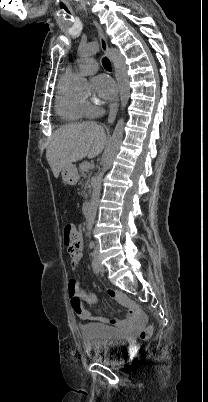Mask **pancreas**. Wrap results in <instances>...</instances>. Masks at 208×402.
<instances>
[{
	"label": "pancreas",
	"instance_id": "1",
	"mask_svg": "<svg viewBox=\"0 0 208 402\" xmlns=\"http://www.w3.org/2000/svg\"><path fill=\"white\" fill-rule=\"evenodd\" d=\"M80 174L82 176V178H84V180H87L84 188H85V192L83 194V196H85V198H88V196H90L91 194V182H90V174H88V170H83L82 166H80ZM82 184V182H81Z\"/></svg>",
	"mask_w": 208,
	"mask_h": 402
}]
</instances>
